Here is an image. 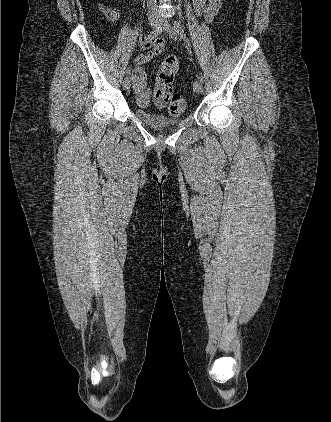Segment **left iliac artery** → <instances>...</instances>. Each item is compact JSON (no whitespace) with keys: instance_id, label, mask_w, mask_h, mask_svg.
Instances as JSON below:
<instances>
[{"instance_id":"obj_1","label":"left iliac artery","mask_w":331,"mask_h":422,"mask_svg":"<svg viewBox=\"0 0 331 422\" xmlns=\"http://www.w3.org/2000/svg\"><path fill=\"white\" fill-rule=\"evenodd\" d=\"M174 29L178 33V35L186 42V44L188 46H190V42H189V40H188V38H187V36H186V34L184 32V29H183V27L181 26V24L178 21H175L174 22ZM199 78L203 82L204 77H203V74L202 73L199 74Z\"/></svg>"}]
</instances>
